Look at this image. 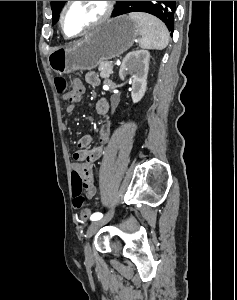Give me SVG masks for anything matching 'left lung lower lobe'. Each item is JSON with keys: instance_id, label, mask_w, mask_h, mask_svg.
Masks as SVG:
<instances>
[{"instance_id": "left-lung-lower-lobe-1", "label": "left lung lower lobe", "mask_w": 237, "mask_h": 300, "mask_svg": "<svg viewBox=\"0 0 237 300\" xmlns=\"http://www.w3.org/2000/svg\"><path fill=\"white\" fill-rule=\"evenodd\" d=\"M163 3H164V4H167V3H168V1H163ZM113 17H115V14H113Z\"/></svg>"}]
</instances>
